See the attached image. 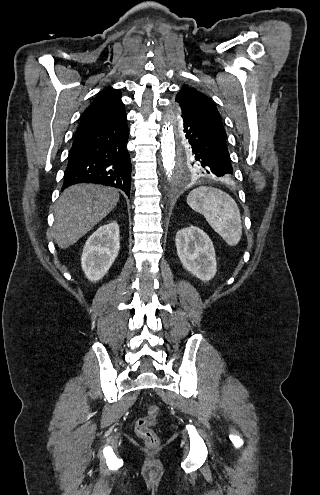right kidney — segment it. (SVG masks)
<instances>
[{"instance_id":"obj_1","label":"right kidney","mask_w":320,"mask_h":495,"mask_svg":"<svg viewBox=\"0 0 320 495\" xmlns=\"http://www.w3.org/2000/svg\"><path fill=\"white\" fill-rule=\"evenodd\" d=\"M119 226L111 222L97 229L86 241L81 257L88 280L96 282L107 274L120 248Z\"/></svg>"}]
</instances>
